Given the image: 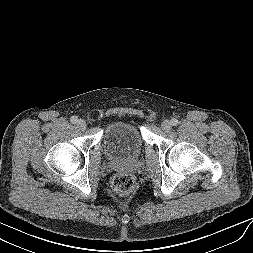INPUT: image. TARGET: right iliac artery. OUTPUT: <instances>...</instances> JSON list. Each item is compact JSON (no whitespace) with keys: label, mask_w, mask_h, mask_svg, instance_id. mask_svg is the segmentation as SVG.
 Returning a JSON list of instances; mask_svg holds the SVG:
<instances>
[{"label":"right iliac artery","mask_w":253,"mask_h":253,"mask_svg":"<svg viewBox=\"0 0 253 253\" xmlns=\"http://www.w3.org/2000/svg\"><path fill=\"white\" fill-rule=\"evenodd\" d=\"M70 121H71V123L75 124V123H77L78 118H77L76 116H72V117L70 118Z\"/></svg>","instance_id":"right-iliac-artery-1"}]
</instances>
